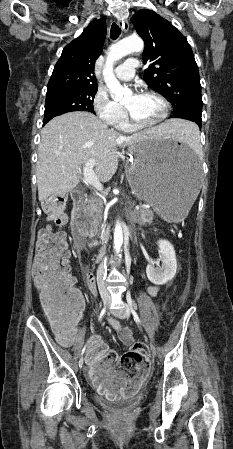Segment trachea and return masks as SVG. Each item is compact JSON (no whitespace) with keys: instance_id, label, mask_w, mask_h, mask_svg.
<instances>
[{"instance_id":"trachea-1","label":"trachea","mask_w":233,"mask_h":449,"mask_svg":"<svg viewBox=\"0 0 233 449\" xmlns=\"http://www.w3.org/2000/svg\"><path fill=\"white\" fill-rule=\"evenodd\" d=\"M121 29L116 23H113L111 26L110 37L113 40H116L119 37Z\"/></svg>"}]
</instances>
